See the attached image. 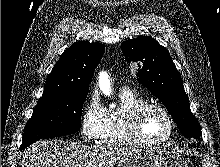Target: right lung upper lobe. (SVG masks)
I'll return each mask as SVG.
<instances>
[{
    "label": "right lung upper lobe",
    "instance_id": "obj_1",
    "mask_svg": "<svg viewBox=\"0 0 220 167\" xmlns=\"http://www.w3.org/2000/svg\"><path fill=\"white\" fill-rule=\"evenodd\" d=\"M104 50L105 46L100 43L80 41L72 44L48 75L41 99L67 91L89 89Z\"/></svg>",
    "mask_w": 220,
    "mask_h": 167
}]
</instances>
